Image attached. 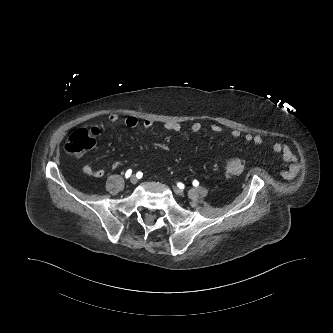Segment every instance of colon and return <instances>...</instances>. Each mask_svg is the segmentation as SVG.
Wrapping results in <instances>:
<instances>
[{
  "label": "colon",
  "instance_id": "colon-1",
  "mask_svg": "<svg viewBox=\"0 0 333 333\" xmlns=\"http://www.w3.org/2000/svg\"><path fill=\"white\" fill-rule=\"evenodd\" d=\"M98 134L99 129L97 127L78 129L69 136L64 149L69 154L82 155L95 146ZM244 168V162L239 158H231L225 164L226 174L231 177L241 175Z\"/></svg>",
  "mask_w": 333,
  "mask_h": 333
}]
</instances>
